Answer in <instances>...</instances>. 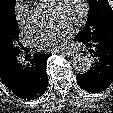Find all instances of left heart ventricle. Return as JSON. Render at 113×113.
<instances>
[{"instance_id": "left-heart-ventricle-1", "label": "left heart ventricle", "mask_w": 113, "mask_h": 113, "mask_svg": "<svg viewBox=\"0 0 113 113\" xmlns=\"http://www.w3.org/2000/svg\"><path fill=\"white\" fill-rule=\"evenodd\" d=\"M81 11V0H65L61 12L52 9L49 22L62 20L69 23L70 25H73L79 18Z\"/></svg>"}]
</instances>
